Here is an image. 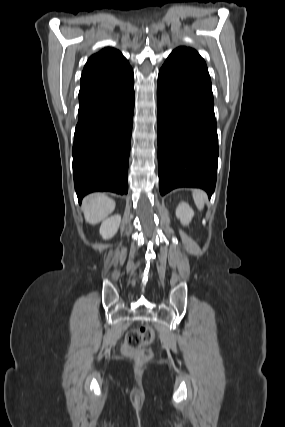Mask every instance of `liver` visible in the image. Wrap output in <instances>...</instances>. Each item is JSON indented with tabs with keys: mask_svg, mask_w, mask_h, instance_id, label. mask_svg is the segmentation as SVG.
Masks as SVG:
<instances>
[{
	"mask_svg": "<svg viewBox=\"0 0 285 427\" xmlns=\"http://www.w3.org/2000/svg\"><path fill=\"white\" fill-rule=\"evenodd\" d=\"M115 206V201L104 194H91L84 199L82 210L86 222L95 225L107 218Z\"/></svg>",
	"mask_w": 285,
	"mask_h": 427,
	"instance_id": "1",
	"label": "liver"
}]
</instances>
